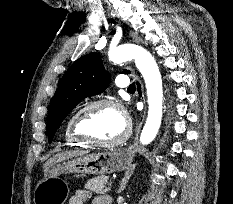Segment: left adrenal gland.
Listing matches in <instances>:
<instances>
[{"instance_id": "obj_1", "label": "left adrenal gland", "mask_w": 233, "mask_h": 204, "mask_svg": "<svg viewBox=\"0 0 233 204\" xmlns=\"http://www.w3.org/2000/svg\"><path fill=\"white\" fill-rule=\"evenodd\" d=\"M136 165H132L129 169H127V171L125 172V175L120 183V188L118 190V193H121L122 191H124V189L126 188V184L128 183L131 175L133 174V171L135 169Z\"/></svg>"}]
</instances>
